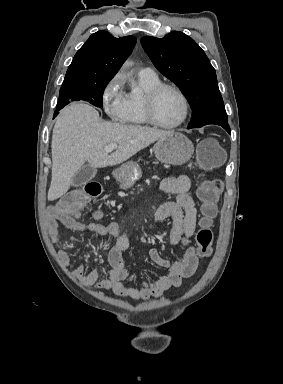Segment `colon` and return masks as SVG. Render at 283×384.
<instances>
[{"instance_id":"1","label":"colon","mask_w":283,"mask_h":384,"mask_svg":"<svg viewBox=\"0 0 283 384\" xmlns=\"http://www.w3.org/2000/svg\"><path fill=\"white\" fill-rule=\"evenodd\" d=\"M198 165L203 170H211L218 167L224 160V153L218 141L209 137L202 140L197 150ZM223 182L220 179L203 181L197 190L198 199L201 202L200 229L196 234L198 254L208 257L211 254L213 234L211 231L212 220L217 214V202L223 192ZM102 191L97 182H90L64 196L58 205L63 211L78 215L83 212L85 206L97 198Z\"/></svg>"}]
</instances>
